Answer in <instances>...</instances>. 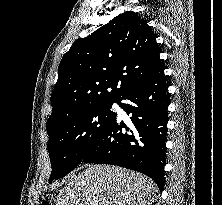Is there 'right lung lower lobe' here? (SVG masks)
Segmentation results:
<instances>
[{"mask_svg":"<svg viewBox=\"0 0 222 205\" xmlns=\"http://www.w3.org/2000/svg\"><path fill=\"white\" fill-rule=\"evenodd\" d=\"M164 68L130 87L120 107L131 115V127L118 119L95 138L82 161L112 164L148 175L164 188L165 141L169 93Z\"/></svg>","mask_w":222,"mask_h":205,"instance_id":"98d812e1","label":"right lung lower lobe"}]
</instances>
